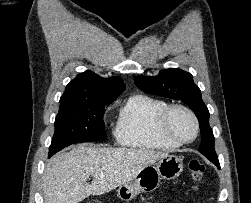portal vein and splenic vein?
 <instances>
[{
	"instance_id": "1",
	"label": "portal vein and splenic vein",
	"mask_w": 251,
	"mask_h": 203,
	"mask_svg": "<svg viewBox=\"0 0 251 203\" xmlns=\"http://www.w3.org/2000/svg\"><path fill=\"white\" fill-rule=\"evenodd\" d=\"M100 177H104V175H103V174H100Z\"/></svg>"
}]
</instances>
